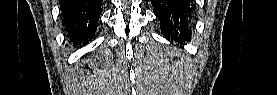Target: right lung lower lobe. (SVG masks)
Returning a JSON list of instances; mask_svg holds the SVG:
<instances>
[{"label": "right lung lower lobe", "mask_w": 277, "mask_h": 95, "mask_svg": "<svg viewBox=\"0 0 277 95\" xmlns=\"http://www.w3.org/2000/svg\"><path fill=\"white\" fill-rule=\"evenodd\" d=\"M101 0H62L63 24L73 44H87L96 31L101 14Z\"/></svg>", "instance_id": "right-lung-lower-lobe-1"}]
</instances>
